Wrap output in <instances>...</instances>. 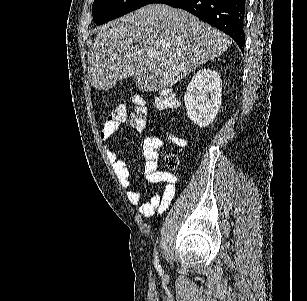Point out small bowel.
Segmentation results:
<instances>
[{"label": "small bowel", "instance_id": "c3829d8e", "mask_svg": "<svg viewBox=\"0 0 307 301\" xmlns=\"http://www.w3.org/2000/svg\"><path fill=\"white\" fill-rule=\"evenodd\" d=\"M119 124L105 122L101 130V139L104 143L111 140L114 133L118 130ZM163 141L156 136L144 138L141 144L142 154L145 158L144 174L148 182L153 184H162L160 192L151 195L148 201L142 202L148 194L145 189H130V172L128 161L120 158L116 150L107 147L106 153L110 160L114 173L122 188L127 189V199L133 205H138V212L143 217H151L154 214H161L167 210L174 199L176 193L177 177L171 172L160 170L158 168L159 148Z\"/></svg>", "mask_w": 307, "mask_h": 301}]
</instances>
